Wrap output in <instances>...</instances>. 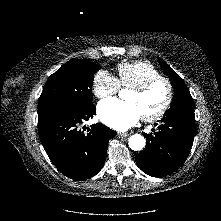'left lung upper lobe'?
<instances>
[{
	"label": "left lung upper lobe",
	"mask_w": 221,
	"mask_h": 221,
	"mask_svg": "<svg viewBox=\"0 0 221 221\" xmlns=\"http://www.w3.org/2000/svg\"><path fill=\"white\" fill-rule=\"evenodd\" d=\"M158 60L174 88L173 100L170 109L166 112V116L194 115L193 99L186 84L161 58H158Z\"/></svg>",
	"instance_id": "obj_1"
}]
</instances>
